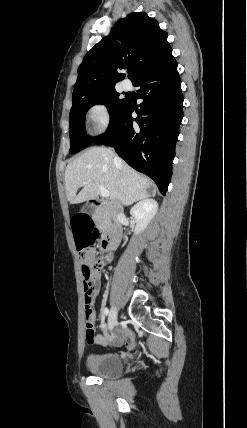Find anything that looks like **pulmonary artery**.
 <instances>
[{"instance_id": "e3ab8cb5", "label": "pulmonary artery", "mask_w": 247, "mask_h": 428, "mask_svg": "<svg viewBox=\"0 0 247 428\" xmlns=\"http://www.w3.org/2000/svg\"><path fill=\"white\" fill-rule=\"evenodd\" d=\"M122 86L125 90H129L131 88V84L128 81H124Z\"/></svg>"}]
</instances>
